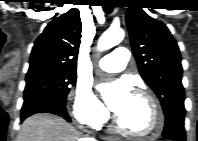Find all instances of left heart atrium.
<instances>
[{
    "label": "left heart atrium",
    "mask_w": 198,
    "mask_h": 141,
    "mask_svg": "<svg viewBox=\"0 0 198 141\" xmlns=\"http://www.w3.org/2000/svg\"><path fill=\"white\" fill-rule=\"evenodd\" d=\"M108 107L118 114L132 96L130 84L126 80L104 83L99 86Z\"/></svg>",
    "instance_id": "39dd6f15"
}]
</instances>
